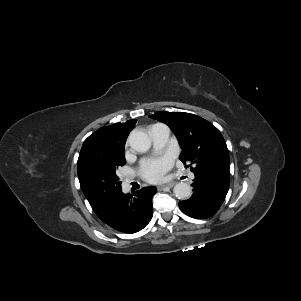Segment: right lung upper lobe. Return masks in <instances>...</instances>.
<instances>
[{
    "label": "right lung upper lobe",
    "instance_id": "obj_1",
    "mask_svg": "<svg viewBox=\"0 0 301 301\" xmlns=\"http://www.w3.org/2000/svg\"><path fill=\"white\" fill-rule=\"evenodd\" d=\"M136 121V119H132L125 123H116L100 128L84 141L80 152L95 145L109 149L124 150L127 136L135 127Z\"/></svg>",
    "mask_w": 301,
    "mask_h": 301
}]
</instances>
